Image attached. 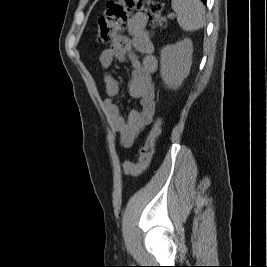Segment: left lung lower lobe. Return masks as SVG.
<instances>
[{"mask_svg":"<svg viewBox=\"0 0 267 267\" xmlns=\"http://www.w3.org/2000/svg\"><path fill=\"white\" fill-rule=\"evenodd\" d=\"M203 3H205L206 0H201Z\"/></svg>","mask_w":267,"mask_h":267,"instance_id":"obj_1","label":"left lung lower lobe"}]
</instances>
